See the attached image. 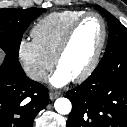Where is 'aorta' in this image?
Listing matches in <instances>:
<instances>
[{"label": "aorta", "mask_w": 127, "mask_h": 127, "mask_svg": "<svg viewBox=\"0 0 127 127\" xmlns=\"http://www.w3.org/2000/svg\"><path fill=\"white\" fill-rule=\"evenodd\" d=\"M55 110L61 115H67L71 112L72 104L67 98H58L54 103Z\"/></svg>", "instance_id": "obj_1"}]
</instances>
